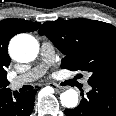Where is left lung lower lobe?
I'll return each mask as SVG.
<instances>
[{
    "mask_svg": "<svg viewBox=\"0 0 116 116\" xmlns=\"http://www.w3.org/2000/svg\"><path fill=\"white\" fill-rule=\"evenodd\" d=\"M87 93L74 109H65L66 116H116V84H91Z\"/></svg>",
    "mask_w": 116,
    "mask_h": 116,
    "instance_id": "obj_1",
    "label": "left lung lower lobe"
}]
</instances>
